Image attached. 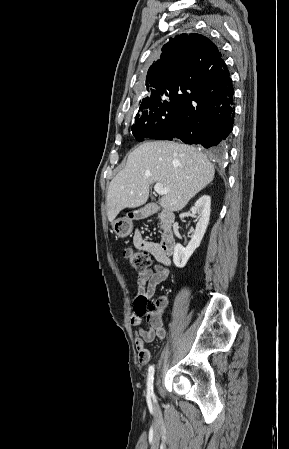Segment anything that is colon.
Listing matches in <instances>:
<instances>
[{
    "instance_id": "5ec220e1",
    "label": "colon",
    "mask_w": 289,
    "mask_h": 449,
    "mask_svg": "<svg viewBox=\"0 0 289 449\" xmlns=\"http://www.w3.org/2000/svg\"><path fill=\"white\" fill-rule=\"evenodd\" d=\"M124 258L132 268L139 273L145 272L151 268L152 259L148 252L127 248L123 252ZM136 309L140 314L154 315L161 308V300H152L144 296L139 297L135 303Z\"/></svg>"
}]
</instances>
